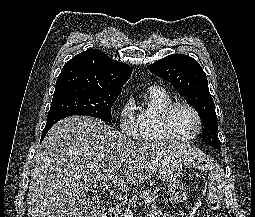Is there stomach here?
Returning a JSON list of instances; mask_svg holds the SVG:
<instances>
[{
	"label": "stomach",
	"instance_id": "0dacf381",
	"mask_svg": "<svg viewBox=\"0 0 255 217\" xmlns=\"http://www.w3.org/2000/svg\"><path fill=\"white\" fill-rule=\"evenodd\" d=\"M185 159L181 155H171L159 166L158 177L162 181L172 182L181 176Z\"/></svg>",
	"mask_w": 255,
	"mask_h": 217
}]
</instances>
